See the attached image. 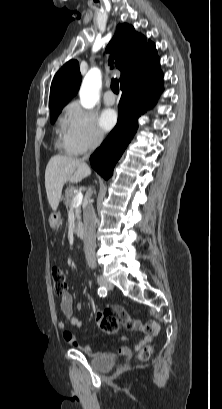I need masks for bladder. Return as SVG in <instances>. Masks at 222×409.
<instances>
[{
  "mask_svg": "<svg viewBox=\"0 0 222 409\" xmlns=\"http://www.w3.org/2000/svg\"><path fill=\"white\" fill-rule=\"evenodd\" d=\"M116 359L113 354H103L92 360V366L98 371H106L115 364Z\"/></svg>",
  "mask_w": 222,
  "mask_h": 409,
  "instance_id": "bladder-1",
  "label": "bladder"
}]
</instances>
